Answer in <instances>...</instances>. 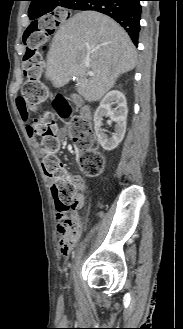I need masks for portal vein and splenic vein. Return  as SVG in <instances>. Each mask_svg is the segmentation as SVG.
<instances>
[{"instance_id": "portal-vein-and-splenic-vein-1", "label": "portal vein and splenic vein", "mask_w": 183, "mask_h": 329, "mask_svg": "<svg viewBox=\"0 0 183 329\" xmlns=\"http://www.w3.org/2000/svg\"><path fill=\"white\" fill-rule=\"evenodd\" d=\"M88 74H89L90 76H93V75H94L92 72H88Z\"/></svg>"}]
</instances>
